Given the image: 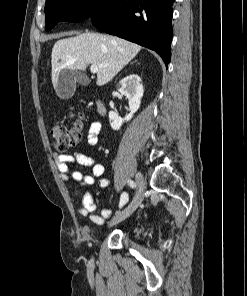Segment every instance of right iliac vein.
<instances>
[{
  "mask_svg": "<svg viewBox=\"0 0 247 296\" xmlns=\"http://www.w3.org/2000/svg\"><path fill=\"white\" fill-rule=\"evenodd\" d=\"M135 180L138 186V191L134 200L124 211L118 213L111 219V221L108 224L109 226L115 225L129 217L142 203L145 193V181L142 174L139 172L136 173Z\"/></svg>",
  "mask_w": 247,
  "mask_h": 296,
  "instance_id": "obj_1",
  "label": "right iliac vein"
}]
</instances>
